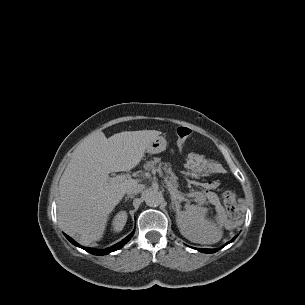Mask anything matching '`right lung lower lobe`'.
<instances>
[{
	"mask_svg": "<svg viewBox=\"0 0 305 305\" xmlns=\"http://www.w3.org/2000/svg\"><path fill=\"white\" fill-rule=\"evenodd\" d=\"M134 234V231L132 233H130V235H128L126 238H124L122 241H120L119 243L115 244L114 246L112 247H109L105 250H96V249H93V248H86V247H83L81 245H79L77 242H75L72 238H70L68 235L64 234L66 236V238L72 243L74 244L75 246L77 247H80L82 249H84L85 251L91 253V254H94V255H106L110 252H113V251H116L118 249H120L122 246H124L132 237V235Z\"/></svg>",
	"mask_w": 305,
	"mask_h": 305,
	"instance_id": "obj_1",
	"label": "right lung lower lobe"
}]
</instances>
